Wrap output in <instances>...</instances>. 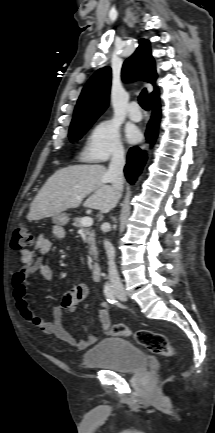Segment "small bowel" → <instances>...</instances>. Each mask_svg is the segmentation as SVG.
Returning <instances> with one entry per match:
<instances>
[{"label":"small bowel","mask_w":215,"mask_h":433,"mask_svg":"<svg viewBox=\"0 0 215 433\" xmlns=\"http://www.w3.org/2000/svg\"><path fill=\"white\" fill-rule=\"evenodd\" d=\"M53 236L57 240H62L64 232L61 228H57L53 231ZM51 248L52 241L45 235H39L32 250L24 249L20 252L19 260L22 266L15 271L12 278L13 296L17 309L29 324L39 329L41 332L53 335L58 340L73 345L79 350H86L96 342L98 336L91 335L85 340L78 341L63 324L65 314L74 312L79 304L86 298L88 288L85 283L76 284L64 293L61 303L53 308L52 321L40 317L31 308L27 300V286L31 275L39 273L42 278L48 282L54 278L52 268L39 257V255L47 254ZM97 314L102 332H106L110 327L108 303H100Z\"/></svg>","instance_id":"1"}]
</instances>
